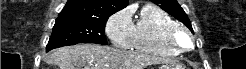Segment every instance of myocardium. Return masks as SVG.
Here are the masks:
<instances>
[{
    "mask_svg": "<svg viewBox=\"0 0 246 69\" xmlns=\"http://www.w3.org/2000/svg\"><path fill=\"white\" fill-rule=\"evenodd\" d=\"M182 33L187 37V42L184 44L177 39V34ZM167 41L173 45L180 48V51L190 49L193 46V38L191 33L182 25L174 24L166 30Z\"/></svg>",
    "mask_w": 246,
    "mask_h": 69,
    "instance_id": "1",
    "label": "myocardium"
}]
</instances>
